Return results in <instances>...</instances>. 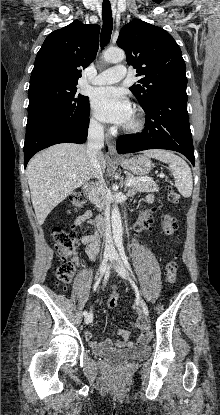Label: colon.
I'll use <instances>...</instances> for the list:
<instances>
[{
    "instance_id": "colon-1",
    "label": "colon",
    "mask_w": 220,
    "mask_h": 415,
    "mask_svg": "<svg viewBox=\"0 0 220 415\" xmlns=\"http://www.w3.org/2000/svg\"><path fill=\"white\" fill-rule=\"evenodd\" d=\"M169 199L172 202L178 201V194L171 190L169 192ZM88 202V197L84 191H75L70 195V210L71 211H81ZM177 228V223L174 218L171 216L164 217L161 223V232L166 235H172ZM52 237L55 241V250L57 254L61 257L62 262L58 266L56 275L59 282L65 287L67 286L73 278L75 266L72 261L78 246L79 239L78 234L74 229L66 230L61 227H54L52 229ZM165 279L168 283H174L177 279L178 268L175 261L170 260L166 263L165 266ZM119 301V294L113 293L107 300V307L109 309H114ZM143 339H149L150 334L144 332L142 334Z\"/></svg>"
}]
</instances>
